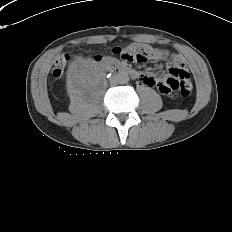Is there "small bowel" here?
Segmentation results:
<instances>
[{
  "label": "small bowel",
  "mask_w": 232,
  "mask_h": 232,
  "mask_svg": "<svg viewBox=\"0 0 232 232\" xmlns=\"http://www.w3.org/2000/svg\"><path fill=\"white\" fill-rule=\"evenodd\" d=\"M133 48L135 49H147L148 47L146 45L142 44H134ZM67 58V56H65ZM172 66H176L178 68H183L185 66L184 61L181 57L177 56L173 58ZM141 82L148 86L153 87L156 86L160 92H162L163 95L168 96L172 92V88L170 85H168L165 82V79H162L154 74L151 73H144L141 76Z\"/></svg>",
  "instance_id": "c3829d8e"
}]
</instances>
